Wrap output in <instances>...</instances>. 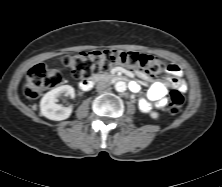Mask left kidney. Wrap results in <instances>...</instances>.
<instances>
[{
	"mask_svg": "<svg viewBox=\"0 0 222 187\" xmlns=\"http://www.w3.org/2000/svg\"><path fill=\"white\" fill-rule=\"evenodd\" d=\"M150 116L153 118V119H157L159 117V114L157 112H151L150 113Z\"/></svg>",
	"mask_w": 222,
	"mask_h": 187,
	"instance_id": "1",
	"label": "left kidney"
}]
</instances>
